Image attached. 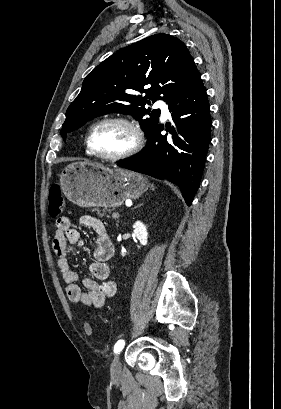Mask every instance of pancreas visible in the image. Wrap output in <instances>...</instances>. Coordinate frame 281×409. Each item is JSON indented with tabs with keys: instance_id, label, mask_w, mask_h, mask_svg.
<instances>
[{
	"instance_id": "1",
	"label": "pancreas",
	"mask_w": 281,
	"mask_h": 409,
	"mask_svg": "<svg viewBox=\"0 0 281 409\" xmlns=\"http://www.w3.org/2000/svg\"><path fill=\"white\" fill-rule=\"evenodd\" d=\"M106 213V209H102L101 213H97V215H101V217H103V215H105Z\"/></svg>"
}]
</instances>
